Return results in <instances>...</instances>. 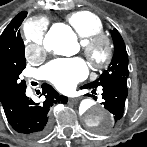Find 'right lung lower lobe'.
<instances>
[{"instance_id": "obj_1", "label": "right lung lower lobe", "mask_w": 147, "mask_h": 147, "mask_svg": "<svg viewBox=\"0 0 147 147\" xmlns=\"http://www.w3.org/2000/svg\"><path fill=\"white\" fill-rule=\"evenodd\" d=\"M43 102L35 103L25 91L1 99L5 115L11 127L27 137H39L50 126L48 112L55 102L67 103V97L60 95L50 85H42Z\"/></svg>"}]
</instances>
